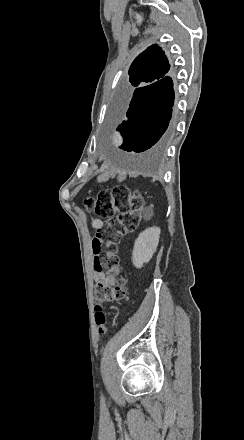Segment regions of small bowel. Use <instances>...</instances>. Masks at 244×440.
Returning a JSON list of instances; mask_svg holds the SVG:
<instances>
[{
    "mask_svg": "<svg viewBox=\"0 0 244 440\" xmlns=\"http://www.w3.org/2000/svg\"><path fill=\"white\" fill-rule=\"evenodd\" d=\"M92 227L98 230L102 227L103 222L100 219L92 220ZM93 278L96 284H104L108 286H113L115 284V277L106 274L104 271L94 270Z\"/></svg>",
    "mask_w": 244,
    "mask_h": 440,
    "instance_id": "1",
    "label": "small bowel"
}]
</instances>
